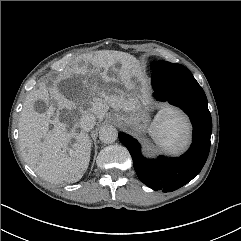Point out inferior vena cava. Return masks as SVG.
<instances>
[{"mask_svg":"<svg viewBox=\"0 0 241 241\" xmlns=\"http://www.w3.org/2000/svg\"><path fill=\"white\" fill-rule=\"evenodd\" d=\"M96 124V117L92 113L84 114L79 122L80 128L84 131H90Z\"/></svg>","mask_w":241,"mask_h":241,"instance_id":"obj_1","label":"inferior vena cava"}]
</instances>
